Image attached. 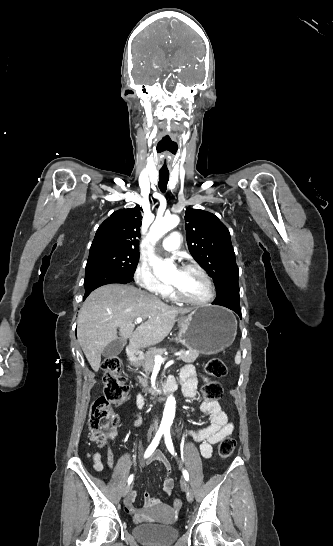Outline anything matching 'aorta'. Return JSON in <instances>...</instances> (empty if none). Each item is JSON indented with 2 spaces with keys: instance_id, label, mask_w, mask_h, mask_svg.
<instances>
[{
  "instance_id": "aorta-1",
  "label": "aorta",
  "mask_w": 333,
  "mask_h": 546,
  "mask_svg": "<svg viewBox=\"0 0 333 546\" xmlns=\"http://www.w3.org/2000/svg\"><path fill=\"white\" fill-rule=\"evenodd\" d=\"M179 221L180 219L177 215H169L161 219H156L150 227L148 239L152 243H155L164 234L175 228L179 224ZM150 264L153 267L156 277H158L161 281L171 278L176 272V267L172 261H163L161 259L154 258L150 259ZM175 405V398L173 396H168L161 423L162 427L170 428L175 416Z\"/></svg>"
}]
</instances>
